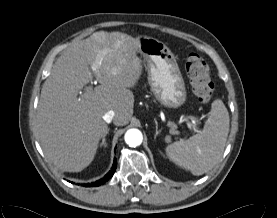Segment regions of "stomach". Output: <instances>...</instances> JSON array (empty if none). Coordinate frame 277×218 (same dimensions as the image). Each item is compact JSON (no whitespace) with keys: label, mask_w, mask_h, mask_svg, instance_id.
Returning <instances> with one entry per match:
<instances>
[{"label":"stomach","mask_w":277,"mask_h":218,"mask_svg":"<svg viewBox=\"0 0 277 218\" xmlns=\"http://www.w3.org/2000/svg\"><path fill=\"white\" fill-rule=\"evenodd\" d=\"M138 52L147 62L148 83L156 100L165 108H179L186 99L185 83L171 50L152 37H141Z\"/></svg>","instance_id":"obj_1"}]
</instances>
